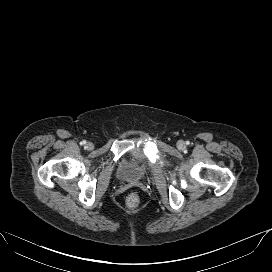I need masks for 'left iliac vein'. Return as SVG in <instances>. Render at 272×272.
Segmentation results:
<instances>
[{"instance_id": "obj_1", "label": "left iliac vein", "mask_w": 272, "mask_h": 272, "mask_svg": "<svg viewBox=\"0 0 272 272\" xmlns=\"http://www.w3.org/2000/svg\"><path fill=\"white\" fill-rule=\"evenodd\" d=\"M177 146H178L179 149H182V148L184 147V142L179 141V142L177 143Z\"/></svg>"}]
</instances>
